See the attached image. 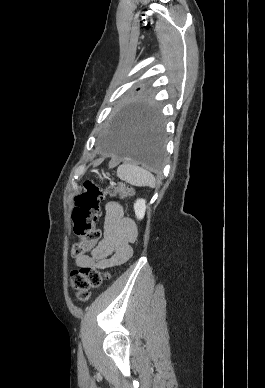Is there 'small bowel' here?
Segmentation results:
<instances>
[{
	"instance_id": "small-bowel-1",
	"label": "small bowel",
	"mask_w": 265,
	"mask_h": 388,
	"mask_svg": "<svg viewBox=\"0 0 265 388\" xmlns=\"http://www.w3.org/2000/svg\"><path fill=\"white\" fill-rule=\"evenodd\" d=\"M138 235L136 223L124 217L122 206L110 201L105 206L103 237L90 254L76 257L78 267L104 270L126 262L133 254L131 244Z\"/></svg>"
}]
</instances>
